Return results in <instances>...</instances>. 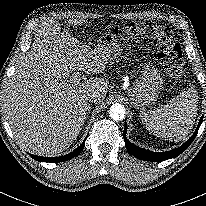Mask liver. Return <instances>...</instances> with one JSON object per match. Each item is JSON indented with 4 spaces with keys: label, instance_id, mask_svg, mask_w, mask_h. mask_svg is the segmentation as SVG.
<instances>
[{
    "label": "liver",
    "instance_id": "obj_1",
    "mask_svg": "<svg viewBox=\"0 0 206 206\" xmlns=\"http://www.w3.org/2000/svg\"><path fill=\"white\" fill-rule=\"evenodd\" d=\"M110 62L100 47L79 42L56 21L44 22L6 90L4 110L22 147L37 155H56L69 148L86 119L87 96L96 94L101 103L109 84L93 77L75 82L72 73L77 69L99 74Z\"/></svg>",
    "mask_w": 206,
    "mask_h": 206
}]
</instances>
